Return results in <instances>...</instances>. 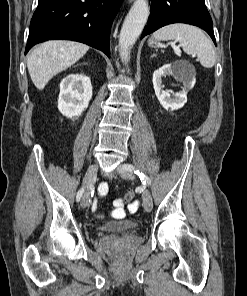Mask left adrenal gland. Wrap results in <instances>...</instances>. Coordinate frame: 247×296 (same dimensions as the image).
Instances as JSON below:
<instances>
[{"label":"left adrenal gland","instance_id":"obj_1","mask_svg":"<svg viewBox=\"0 0 247 296\" xmlns=\"http://www.w3.org/2000/svg\"><path fill=\"white\" fill-rule=\"evenodd\" d=\"M152 57H156V54H152V55H151V58H152Z\"/></svg>","mask_w":247,"mask_h":296}]
</instances>
